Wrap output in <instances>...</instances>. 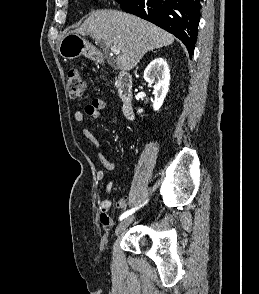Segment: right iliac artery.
I'll return each mask as SVG.
<instances>
[{
	"instance_id": "right-iliac-artery-1",
	"label": "right iliac artery",
	"mask_w": 259,
	"mask_h": 294,
	"mask_svg": "<svg viewBox=\"0 0 259 294\" xmlns=\"http://www.w3.org/2000/svg\"><path fill=\"white\" fill-rule=\"evenodd\" d=\"M146 203V202H145ZM144 203V204H145ZM143 204V205H144ZM142 205H140L139 207H141ZM139 207H135V208H133V209H130V210H128V211H126V212H124L121 216H120V220H123V219H125L126 217H128L129 215H131L132 213H134L135 212V210H137Z\"/></svg>"
}]
</instances>
